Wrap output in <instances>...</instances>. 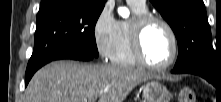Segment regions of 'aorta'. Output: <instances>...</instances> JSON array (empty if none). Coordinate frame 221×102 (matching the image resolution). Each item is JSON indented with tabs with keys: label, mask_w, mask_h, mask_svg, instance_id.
Instances as JSON below:
<instances>
[{
	"label": "aorta",
	"mask_w": 221,
	"mask_h": 102,
	"mask_svg": "<svg viewBox=\"0 0 221 102\" xmlns=\"http://www.w3.org/2000/svg\"><path fill=\"white\" fill-rule=\"evenodd\" d=\"M118 13L123 18H128L130 14L129 9L126 7H120Z\"/></svg>",
	"instance_id": "obj_1"
}]
</instances>
